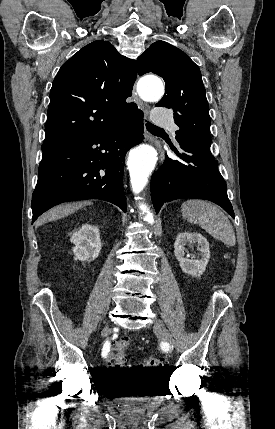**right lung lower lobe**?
Masks as SVG:
<instances>
[{"instance_id": "98d812e1", "label": "right lung lower lobe", "mask_w": 275, "mask_h": 429, "mask_svg": "<svg viewBox=\"0 0 275 429\" xmlns=\"http://www.w3.org/2000/svg\"><path fill=\"white\" fill-rule=\"evenodd\" d=\"M143 112L122 122L43 151L32 195V223L63 202L100 199L126 212L123 190L125 155L143 140Z\"/></svg>"}]
</instances>
